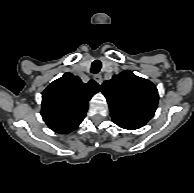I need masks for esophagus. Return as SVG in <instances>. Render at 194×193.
I'll return each mask as SVG.
<instances>
[{"label": "esophagus", "instance_id": "esophagus-1", "mask_svg": "<svg viewBox=\"0 0 194 193\" xmlns=\"http://www.w3.org/2000/svg\"><path fill=\"white\" fill-rule=\"evenodd\" d=\"M94 80H95L99 85H101L102 82H103V78H102V76H101L100 74L95 75V76H94Z\"/></svg>", "mask_w": 194, "mask_h": 193}]
</instances>
